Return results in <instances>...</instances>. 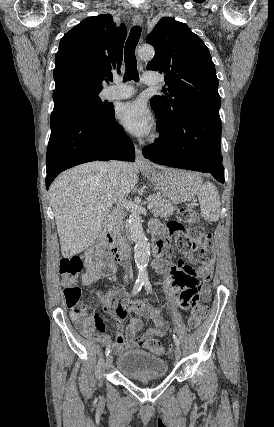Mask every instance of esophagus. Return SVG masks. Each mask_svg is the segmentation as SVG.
<instances>
[{"mask_svg":"<svg viewBox=\"0 0 274 427\" xmlns=\"http://www.w3.org/2000/svg\"><path fill=\"white\" fill-rule=\"evenodd\" d=\"M132 20L134 25H142L143 23V17L140 14H134ZM135 163L139 167L150 166V162L143 157L142 151L137 145H135Z\"/></svg>","mask_w":274,"mask_h":427,"instance_id":"34e87169","label":"esophagus"}]
</instances>
